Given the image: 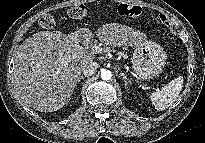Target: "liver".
<instances>
[{
	"label": "liver",
	"mask_w": 205,
	"mask_h": 143,
	"mask_svg": "<svg viewBox=\"0 0 205 143\" xmlns=\"http://www.w3.org/2000/svg\"><path fill=\"white\" fill-rule=\"evenodd\" d=\"M86 30L67 35L60 31L37 32L17 48L12 76L22 104L51 112L70 100L82 67L95 58L79 45ZM97 38L106 46H136L147 41L143 33L116 23L102 25Z\"/></svg>",
	"instance_id": "1"
}]
</instances>
